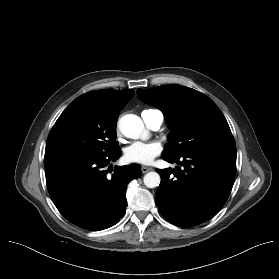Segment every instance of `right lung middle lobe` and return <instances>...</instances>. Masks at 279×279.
Instances as JSON below:
<instances>
[{"label": "right lung middle lobe", "instance_id": "dd1d6c3e", "mask_svg": "<svg viewBox=\"0 0 279 279\" xmlns=\"http://www.w3.org/2000/svg\"><path fill=\"white\" fill-rule=\"evenodd\" d=\"M117 120L98 114L88 103L76 98L52 127L45 157L85 153L107 155L119 148L116 142Z\"/></svg>", "mask_w": 279, "mask_h": 279}]
</instances>
